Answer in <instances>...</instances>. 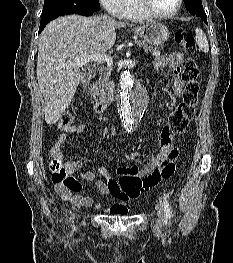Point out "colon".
<instances>
[{
  "label": "colon",
  "mask_w": 233,
  "mask_h": 263,
  "mask_svg": "<svg viewBox=\"0 0 233 263\" xmlns=\"http://www.w3.org/2000/svg\"><path fill=\"white\" fill-rule=\"evenodd\" d=\"M175 42L187 55L196 52V44L192 34L185 30H179L175 34ZM182 80L185 82L183 99L180 104L170 113L168 125L165 127L166 138L172 142L182 135L190 120L195 115L199 103V68L191 58L187 59L183 65ZM74 123V115L66 112L58 122V127L62 131H68ZM175 157L172 155L151 175L145 177L147 185H156L160 180L171 177L175 172ZM52 179L54 183H61L64 189H83V184H79L73 177L69 176L65 167L57 160L50 163Z\"/></svg>",
  "instance_id": "obj_1"
}]
</instances>
